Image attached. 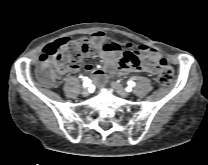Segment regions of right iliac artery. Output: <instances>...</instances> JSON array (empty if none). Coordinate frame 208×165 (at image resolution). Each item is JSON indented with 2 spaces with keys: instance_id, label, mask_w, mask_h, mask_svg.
I'll use <instances>...</instances> for the list:
<instances>
[{
  "instance_id": "82829eb1",
  "label": "right iliac artery",
  "mask_w": 208,
  "mask_h": 165,
  "mask_svg": "<svg viewBox=\"0 0 208 165\" xmlns=\"http://www.w3.org/2000/svg\"><path fill=\"white\" fill-rule=\"evenodd\" d=\"M91 81L87 78H85V81L83 83L84 87H88L90 85Z\"/></svg>"
}]
</instances>
